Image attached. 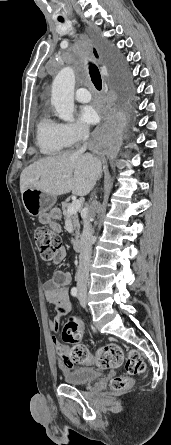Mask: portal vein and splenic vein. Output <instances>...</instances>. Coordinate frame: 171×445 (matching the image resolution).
<instances>
[{"mask_svg": "<svg viewBox=\"0 0 171 445\" xmlns=\"http://www.w3.org/2000/svg\"><path fill=\"white\" fill-rule=\"evenodd\" d=\"M81 208V201L80 200H74L71 205L69 206L67 213L68 215H72L74 213H77V211Z\"/></svg>", "mask_w": 171, "mask_h": 445, "instance_id": "portal-vein-and-splenic-vein-1", "label": "portal vein and splenic vein"}]
</instances>
